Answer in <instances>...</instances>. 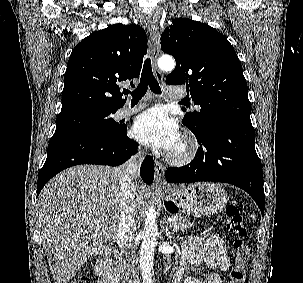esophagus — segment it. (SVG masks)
Returning <instances> with one entry per match:
<instances>
[{
	"label": "esophagus",
	"mask_w": 303,
	"mask_h": 283,
	"mask_svg": "<svg viewBox=\"0 0 303 283\" xmlns=\"http://www.w3.org/2000/svg\"><path fill=\"white\" fill-rule=\"evenodd\" d=\"M147 25L150 34L151 59H152L154 73L158 80H162L163 78L162 74L157 67V60L160 52L159 27L157 20L154 18H150L147 21ZM164 172H165L164 165L161 162L155 160V177H154L155 184L157 185L164 184Z\"/></svg>",
	"instance_id": "34e87169"
}]
</instances>
